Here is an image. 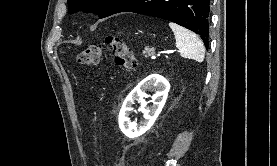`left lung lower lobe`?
Masks as SVG:
<instances>
[{"label": "left lung lower lobe", "mask_w": 277, "mask_h": 166, "mask_svg": "<svg viewBox=\"0 0 277 166\" xmlns=\"http://www.w3.org/2000/svg\"><path fill=\"white\" fill-rule=\"evenodd\" d=\"M121 12H133L175 22L199 34L209 46V0H137Z\"/></svg>", "instance_id": "1"}]
</instances>
